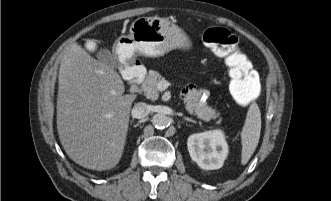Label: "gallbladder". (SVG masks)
Instances as JSON below:
<instances>
[{"instance_id":"bac80fb5","label":"gallbladder","mask_w":331,"mask_h":201,"mask_svg":"<svg viewBox=\"0 0 331 201\" xmlns=\"http://www.w3.org/2000/svg\"><path fill=\"white\" fill-rule=\"evenodd\" d=\"M96 57L102 63L112 67V68H119L120 64L111 51L105 47H100L96 52Z\"/></svg>"}]
</instances>
